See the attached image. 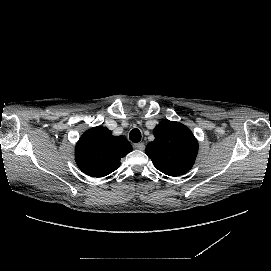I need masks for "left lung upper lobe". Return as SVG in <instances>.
Wrapping results in <instances>:
<instances>
[{"label":"left lung upper lobe","instance_id":"left-lung-upper-lobe-1","mask_svg":"<svg viewBox=\"0 0 271 271\" xmlns=\"http://www.w3.org/2000/svg\"><path fill=\"white\" fill-rule=\"evenodd\" d=\"M155 139L146 147L154 166L169 176L187 173L193 166L198 142L189 128L181 123L162 120L153 131Z\"/></svg>","mask_w":271,"mask_h":271}]
</instances>
